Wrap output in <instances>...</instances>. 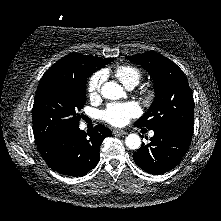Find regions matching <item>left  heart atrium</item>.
<instances>
[{
	"label": "left heart atrium",
	"instance_id": "1",
	"mask_svg": "<svg viewBox=\"0 0 221 221\" xmlns=\"http://www.w3.org/2000/svg\"><path fill=\"white\" fill-rule=\"evenodd\" d=\"M140 113V107L135 102L111 103L101 112V117L113 126H124Z\"/></svg>",
	"mask_w": 221,
	"mask_h": 221
}]
</instances>
